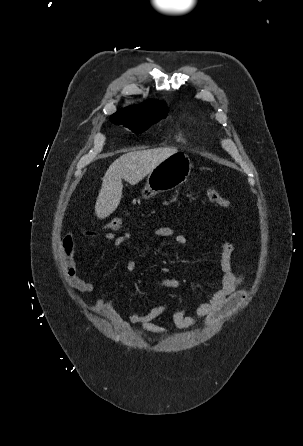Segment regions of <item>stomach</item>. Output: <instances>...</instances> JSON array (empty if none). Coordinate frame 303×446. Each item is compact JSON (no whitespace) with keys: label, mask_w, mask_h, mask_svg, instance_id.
<instances>
[{"label":"stomach","mask_w":303,"mask_h":446,"mask_svg":"<svg viewBox=\"0 0 303 446\" xmlns=\"http://www.w3.org/2000/svg\"><path fill=\"white\" fill-rule=\"evenodd\" d=\"M192 168L189 157L183 153H175L157 165L147 177L141 195L149 200L156 194L173 190L187 181Z\"/></svg>","instance_id":"0dacf381"}]
</instances>
